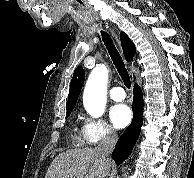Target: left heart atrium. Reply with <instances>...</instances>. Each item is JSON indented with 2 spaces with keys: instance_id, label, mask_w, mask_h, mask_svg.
I'll return each mask as SVG.
<instances>
[{
  "instance_id": "obj_1",
  "label": "left heart atrium",
  "mask_w": 194,
  "mask_h": 178,
  "mask_svg": "<svg viewBox=\"0 0 194 178\" xmlns=\"http://www.w3.org/2000/svg\"><path fill=\"white\" fill-rule=\"evenodd\" d=\"M109 116L113 126L121 129L130 123L132 112L127 105L117 104L110 109Z\"/></svg>"
}]
</instances>
